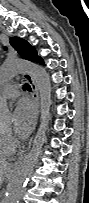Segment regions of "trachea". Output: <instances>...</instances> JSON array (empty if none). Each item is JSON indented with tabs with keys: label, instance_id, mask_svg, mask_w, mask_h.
Segmentation results:
<instances>
[{
	"label": "trachea",
	"instance_id": "3493384b",
	"mask_svg": "<svg viewBox=\"0 0 89 203\" xmlns=\"http://www.w3.org/2000/svg\"><path fill=\"white\" fill-rule=\"evenodd\" d=\"M23 89L24 90H28V91H31L32 89H31V86L29 85V84H24L23 85Z\"/></svg>",
	"mask_w": 89,
	"mask_h": 203
}]
</instances>
